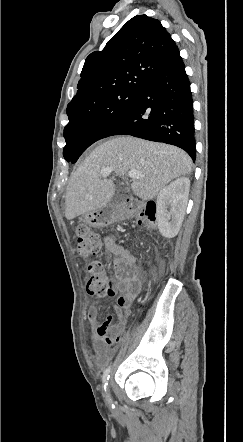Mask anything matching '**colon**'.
<instances>
[{"mask_svg": "<svg viewBox=\"0 0 243 442\" xmlns=\"http://www.w3.org/2000/svg\"><path fill=\"white\" fill-rule=\"evenodd\" d=\"M156 204H139L136 208L138 221L154 225L156 223ZM77 250L79 255L87 260L98 254L100 250V237L86 224H78L75 228ZM87 290L89 294L97 297H111L114 291L108 279V272L99 261L90 262L87 268Z\"/></svg>", "mask_w": 243, "mask_h": 442, "instance_id": "1", "label": "colon"}]
</instances>
